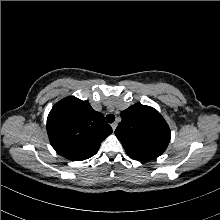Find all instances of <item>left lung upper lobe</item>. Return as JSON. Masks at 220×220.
<instances>
[{
    "instance_id": "left-lung-upper-lobe-1",
    "label": "left lung upper lobe",
    "mask_w": 220,
    "mask_h": 220,
    "mask_svg": "<svg viewBox=\"0 0 220 220\" xmlns=\"http://www.w3.org/2000/svg\"><path fill=\"white\" fill-rule=\"evenodd\" d=\"M121 118L115 135L131 158L150 160L166 150L170 129L156 109L140 103L134 104L121 112Z\"/></svg>"
}]
</instances>
